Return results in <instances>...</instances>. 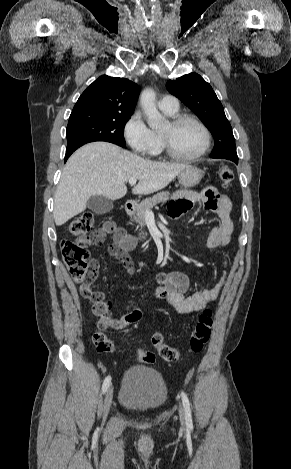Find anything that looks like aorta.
Wrapping results in <instances>:
<instances>
[{"label": "aorta", "instance_id": "obj_1", "mask_svg": "<svg viewBox=\"0 0 291 469\" xmlns=\"http://www.w3.org/2000/svg\"><path fill=\"white\" fill-rule=\"evenodd\" d=\"M140 105L151 129H161L166 125L167 121L165 117L157 110L156 94L153 89L146 88L142 91L140 95Z\"/></svg>", "mask_w": 291, "mask_h": 469}]
</instances>
